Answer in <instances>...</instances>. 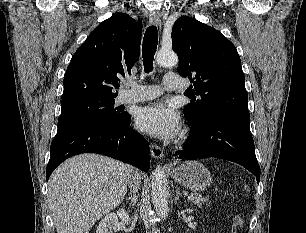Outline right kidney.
<instances>
[{"label":"right kidney","instance_id":"obj_1","mask_svg":"<svg viewBox=\"0 0 306 233\" xmlns=\"http://www.w3.org/2000/svg\"><path fill=\"white\" fill-rule=\"evenodd\" d=\"M119 219L123 223L129 224L130 218L126 210L119 209L117 213L107 214L99 223L96 233H113V230L119 228Z\"/></svg>","mask_w":306,"mask_h":233}]
</instances>
